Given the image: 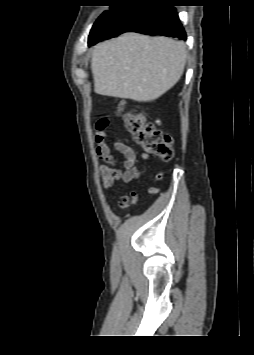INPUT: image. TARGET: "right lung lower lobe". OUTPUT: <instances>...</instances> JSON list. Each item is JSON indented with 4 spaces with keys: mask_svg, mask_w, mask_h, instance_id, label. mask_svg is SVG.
Instances as JSON below:
<instances>
[{
    "mask_svg": "<svg viewBox=\"0 0 254 355\" xmlns=\"http://www.w3.org/2000/svg\"><path fill=\"white\" fill-rule=\"evenodd\" d=\"M171 0H139L114 10L89 46L125 32L163 35L186 40V33Z\"/></svg>",
    "mask_w": 254,
    "mask_h": 355,
    "instance_id": "98d812e1",
    "label": "right lung lower lobe"
}]
</instances>
